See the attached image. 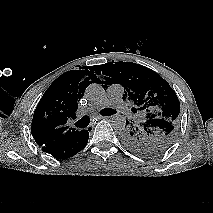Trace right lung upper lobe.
<instances>
[{"label": "right lung upper lobe", "mask_w": 213, "mask_h": 213, "mask_svg": "<svg viewBox=\"0 0 213 213\" xmlns=\"http://www.w3.org/2000/svg\"><path fill=\"white\" fill-rule=\"evenodd\" d=\"M94 73V70L65 72L43 94L31 126L33 138L41 148L65 144L79 134L80 131L70 128L67 121L76 118L77 102L83 97L86 87L92 80H99Z\"/></svg>", "instance_id": "obj_1"}]
</instances>
